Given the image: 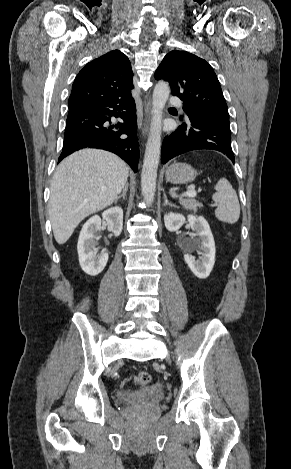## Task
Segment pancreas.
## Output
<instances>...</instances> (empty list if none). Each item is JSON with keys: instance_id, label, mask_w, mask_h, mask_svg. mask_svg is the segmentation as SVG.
<instances>
[{"instance_id": "obj_1", "label": "pancreas", "mask_w": 291, "mask_h": 469, "mask_svg": "<svg viewBox=\"0 0 291 469\" xmlns=\"http://www.w3.org/2000/svg\"><path fill=\"white\" fill-rule=\"evenodd\" d=\"M180 204L186 209V210H193L196 211L197 208H201L202 204L196 201L193 198H185L180 200Z\"/></svg>"}]
</instances>
